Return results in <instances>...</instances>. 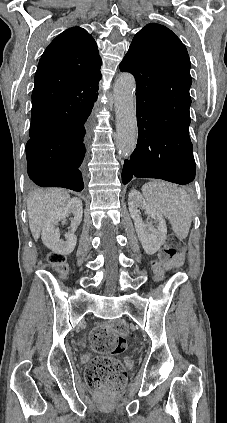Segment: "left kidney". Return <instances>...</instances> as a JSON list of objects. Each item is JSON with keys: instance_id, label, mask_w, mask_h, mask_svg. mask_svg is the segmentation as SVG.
Instances as JSON below:
<instances>
[{"instance_id": "left-kidney-1", "label": "left kidney", "mask_w": 227, "mask_h": 423, "mask_svg": "<svg viewBox=\"0 0 227 423\" xmlns=\"http://www.w3.org/2000/svg\"><path fill=\"white\" fill-rule=\"evenodd\" d=\"M128 206L132 219H134L135 229L138 233V237L149 255L158 251L160 245H163L167 237V225L166 221L159 211L150 208L146 204L144 198H142L138 190H131L128 196ZM138 208H144L148 215V219H154V221H143ZM156 223V225H152Z\"/></svg>"}]
</instances>
